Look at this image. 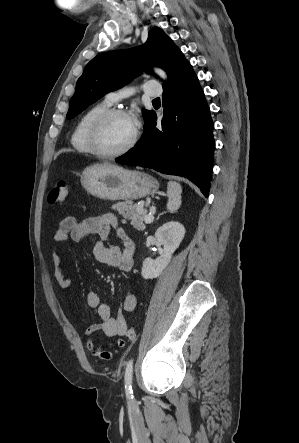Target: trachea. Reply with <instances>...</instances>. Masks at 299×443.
<instances>
[{
	"label": "trachea",
	"instance_id": "trachea-1",
	"mask_svg": "<svg viewBox=\"0 0 299 443\" xmlns=\"http://www.w3.org/2000/svg\"><path fill=\"white\" fill-rule=\"evenodd\" d=\"M153 102H160V98H155Z\"/></svg>",
	"mask_w": 299,
	"mask_h": 443
}]
</instances>
